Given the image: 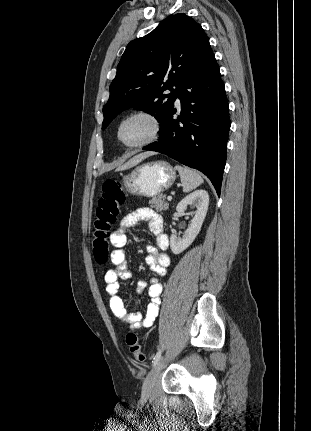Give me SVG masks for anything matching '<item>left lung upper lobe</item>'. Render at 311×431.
Listing matches in <instances>:
<instances>
[{
    "mask_svg": "<svg viewBox=\"0 0 311 431\" xmlns=\"http://www.w3.org/2000/svg\"><path fill=\"white\" fill-rule=\"evenodd\" d=\"M208 49L211 47L204 30L185 14L171 15L148 35L131 41L103 107L102 129L130 107L147 111L162 123L181 83ZM165 90L171 93L163 94Z\"/></svg>",
    "mask_w": 311,
    "mask_h": 431,
    "instance_id": "5c2ea615",
    "label": "left lung upper lobe"
}]
</instances>
